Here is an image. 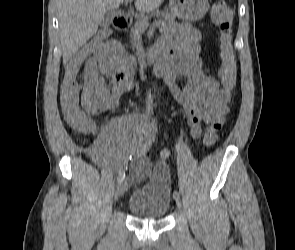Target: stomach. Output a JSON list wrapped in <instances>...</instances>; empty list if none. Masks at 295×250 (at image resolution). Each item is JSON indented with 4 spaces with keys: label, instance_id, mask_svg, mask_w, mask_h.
Returning a JSON list of instances; mask_svg holds the SVG:
<instances>
[{
    "label": "stomach",
    "instance_id": "1",
    "mask_svg": "<svg viewBox=\"0 0 295 250\" xmlns=\"http://www.w3.org/2000/svg\"><path fill=\"white\" fill-rule=\"evenodd\" d=\"M171 13L186 21L201 19L209 9L208 0H170Z\"/></svg>",
    "mask_w": 295,
    "mask_h": 250
}]
</instances>
